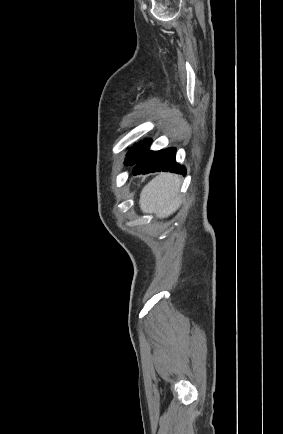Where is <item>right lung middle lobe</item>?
Here are the masks:
<instances>
[{"label": "right lung middle lobe", "mask_w": 283, "mask_h": 434, "mask_svg": "<svg viewBox=\"0 0 283 434\" xmlns=\"http://www.w3.org/2000/svg\"><path fill=\"white\" fill-rule=\"evenodd\" d=\"M151 140H146L138 143L137 145L131 147L126 157L127 165L136 164L149 150Z\"/></svg>", "instance_id": "obj_1"}]
</instances>
